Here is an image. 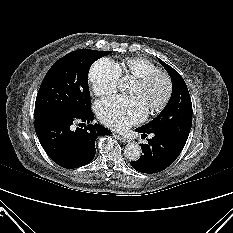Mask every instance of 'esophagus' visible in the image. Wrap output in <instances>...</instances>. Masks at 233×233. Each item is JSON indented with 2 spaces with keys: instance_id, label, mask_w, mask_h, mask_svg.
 I'll use <instances>...</instances> for the list:
<instances>
[{
  "instance_id": "1",
  "label": "esophagus",
  "mask_w": 233,
  "mask_h": 233,
  "mask_svg": "<svg viewBox=\"0 0 233 233\" xmlns=\"http://www.w3.org/2000/svg\"><path fill=\"white\" fill-rule=\"evenodd\" d=\"M120 140H121L122 142H124V143H127V142L130 141V139H129L128 137L123 136V135H120Z\"/></svg>"
}]
</instances>
